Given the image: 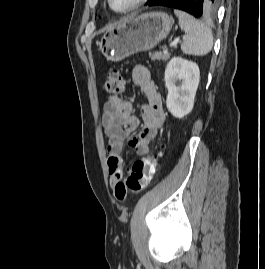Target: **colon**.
I'll return each mask as SVG.
<instances>
[{"label": "colon", "mask_w": 265, "mask_h": 269, "mask_svg": "<svg viewBox=\"0 0 265 269\" xmlns=\"http://www.w3.org/2000/svg\"><path fill=\"white\" fill-rule=\"evenodd\" d=\"M125 81L122 73L112 68L108 71L103 83V90L109 95H118L124 89ZM157 165V156H149L136 160L126 178L123 186L117 187L116 196L124 199L127 193L137 194L146 189L151 183Z\"/></svg>", "instance_id": "1"}]
</instances>
